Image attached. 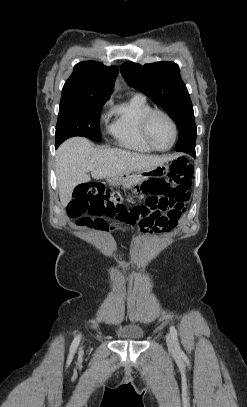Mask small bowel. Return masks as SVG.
<instances>
[{"instance_id": "1", "label": "small bowel", "mask_w": 247, "mask_h": 407, "mask_svg": "<svg viewBox=\"0 0 247 407\" xmlns=\"http://www.w3.org/2000/svg\"><path fill=\"white\" fill-rule=\"evenodd\" d=\"M185 212V203L170 202L168 199L146 197L139 206L116 216L119 222L138 225L142 234H169L179 224Z\"/></svg>"}]
</instances>
